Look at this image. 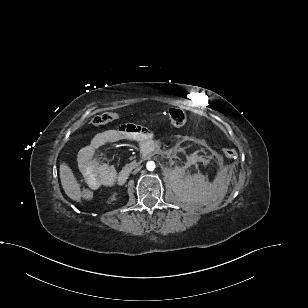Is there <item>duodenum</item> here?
Returning <instances> with one entry per match:
<instances>
[{
    "label": "duodenum",
    "mask_w": 308,
    "mask_h": 308,
    "mask_svg": "<svg viewBox=\"0 0 308 308\" xmlns=\"http://www.w3.org/2000/svg\"><path fill=\"white\" fill-rule=\"evenodd\" d=\"M140 151L142 152V158H145L147 156H150L151 153L155 152V144L154 143H141L140 144ZM140 165V162H137L135 164H133L132 167L129 168H125L122 171H120V173L117 176V182L118 184H124L127 179L129 178L130 172L132 170V168L138 167Z\"/></svg>",
    "instance_id": "410a0bca"
}]
</instances>
